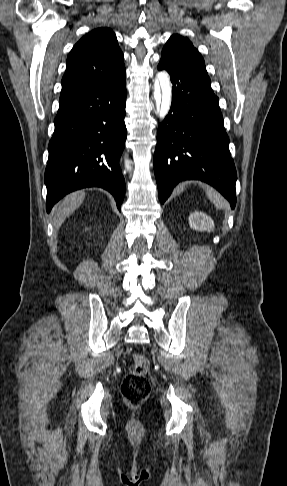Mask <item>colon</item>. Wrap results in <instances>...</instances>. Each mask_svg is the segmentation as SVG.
Wrapping results in <instances>:
<instances>
[{"label":"colon","mask_w":287,"mask_h":486,"mask_svg":"<svg viewBox=\"0 0 287 486\" xmlns=\"http://www.w3.org/2000/svg\"><path fill=\"white\" fill-rule=\"evenodd\" d=\"M149 361L142 354H134L132 365L121 384V392L133 406L143 403L150 394L151 385L147 378Z\"/></svg>","instance_id":"colon-1"}]
</instances>
